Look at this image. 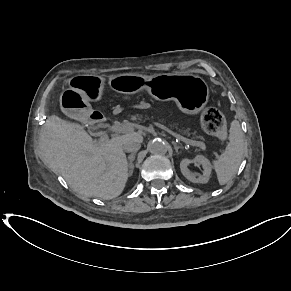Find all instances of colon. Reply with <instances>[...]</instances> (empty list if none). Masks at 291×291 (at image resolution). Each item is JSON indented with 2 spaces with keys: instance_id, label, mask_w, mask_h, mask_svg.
<instances>
[{
  "instance_id": "colon-1",
  "label": "colon",
  "mask_w": 291,
  "mask_h": 291,
  "mask_svg": "<svg viewBox=\"0 0 291 291\" xmlns=\"http://www.w3.org/2000/svg\"><path fill=\"white\" fill-rule=\"evenodd\" d=\"M204 129L220 139L226 138V119L220 109L214 106L207 107L201 117Z\"/></svg>"
}]
</instances>
